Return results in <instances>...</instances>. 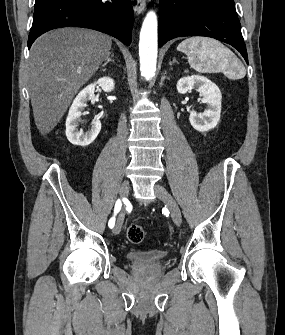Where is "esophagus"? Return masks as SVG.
<instances>
[{"label": "esophagus", "mask_w": 285, "mask_h": 335, "mask_svg": "<svg viewBox=\"0 0 285 335\" xmlns=\"http://www.w3.org/2000/svg\"><path fill=\"white\" fill-rule=\"evenodd\" d=\"M131 2L135 12L137 13L144 12L146 6V0H131Z\"/></svg>", "instance_id": "34e87169"}]
</instances>
